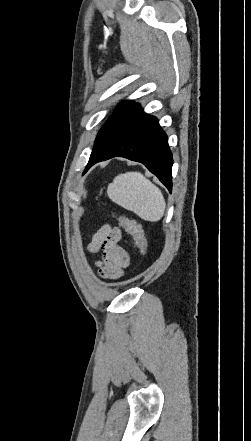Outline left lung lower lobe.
I'll return each instance as SVG.
<instances>
[{"label": "left lung lower lobe", "mask_w": 251, "mask_h": 441, "mask_svg": "<svg viewBox=\"0 0 251 441\" xmlns=\"http://www.w3.org/2000/svg\"><path fill=\"white\" fill-rule=\"evenodd\" d=\"M113 157L143 163L171 192L173 159L167 135L139 104L122 116L110 117L98 133L85 171Z\"/></svg>", "instance_id": "1"}]
</instances>
